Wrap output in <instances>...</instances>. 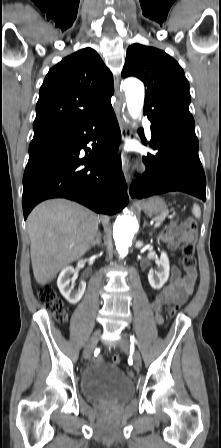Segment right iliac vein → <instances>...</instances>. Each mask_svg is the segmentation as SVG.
<instances>
[{"instance_id":"right-iliac-vein-1","label":"right iliac vein","mask_w":221,"mask_h":448,"mask_svg":"<svg viewBox=\"0 0 221 448\" xmlns=\"http://www.w3.org/2000/svg\"><path fill=\"white\" fill-rule=\"evenodd\" d=\"M101 335V330H97L93 336L90 338V340L88 341L87 345L85 346L84 349V358L88 359L90 358L91 354L93 353L94 349L97 346V343L99 341Z\"/></svg>"}]
</instances>
